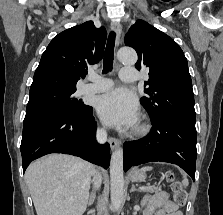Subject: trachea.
<instances>
[{"mask_svg": "<svg viewBox=\"0 0 223 215\" xmlns=\"http://www.w3.org/2000/svg\"><path fill=\"white\" fill-rule=\"evenodd\" d=\"M115 37H116V34L113 31L109 33L107 46L105 49L104 59H103V73H107L112 70Z\"/></svg>", "mask_w": 223, "mask_h": 215, "instance_id": "trachea-1", "label": "trachea"}]
</instances>
